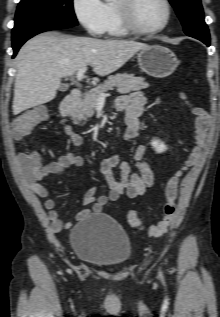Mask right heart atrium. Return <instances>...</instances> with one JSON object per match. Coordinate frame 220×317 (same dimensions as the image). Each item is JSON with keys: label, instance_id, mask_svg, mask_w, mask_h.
<instances>
[{"label": "right heart atrium", "instance_id": "obj_1", "mask_svg": "<svg viewBox=\"0 0 220 317\" xmlns=\"http://www.w3.org/2000/svg\"><path fill=\"white\" fill-rule=\"evenodd\" d=\"M72 8L77 20L90 35L104 33L106 7L102 0H72Z\"/></svg>", "mask_w": 220, "mask_h": 317}]
</instances>
